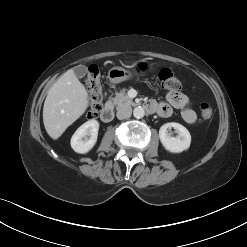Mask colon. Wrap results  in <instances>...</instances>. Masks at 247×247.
Masks as SVG:
<instances>
[{
  "label": "colon",
  "mask_w": 247,
  "mask_h": 247,
  "mask_svg": "<svg viewBox=\"0 0 247 247\" xmlns=\"http://www.w3.org/2000/svg\"><path fill=\"white\" fill-rule=\"evenodd\" d=\"M158 81L163 89L171 92H177L182 88V83L179 78L168 68H162L159 71ZM86 85L89 92L88 117L94 118L101 111L103 103L100 73L98 68L94 65L89 68L86 77ZM200 114L203 119H210L212 116V108L207 103H203L200 105Z\"/></svg>",
  "instance_id": "1"
}]
</instances>
